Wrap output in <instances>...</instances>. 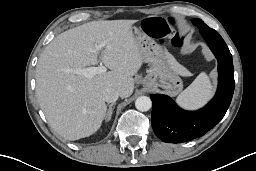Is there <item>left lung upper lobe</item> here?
<instances>
[{
  "mask_svg": "<svg viewBox=\"0 0 256 171\" xmlns=\"http://www.w3.org/2000/svg\"><path fill=\"white\" fill-rule=\"evenodd\" d=\"M192 22L197 27L206 26V24L202 20H200V19H193Z\"/></svg>",
  "mask_w": 256,
  "mask_h": 171,
  "instance_id": "1",
  "label": "left lung upper lobe"
}]
</instances>
